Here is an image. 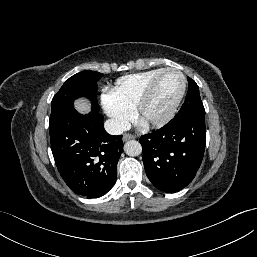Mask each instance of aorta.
Returning <instances> with one entry per match:
<instances>
[{"instance_id": "obj_1", "label": "aorta", "mask_w": 257, "mask_h": 257, "mask_svg": "<svg viewBox=\"0 0 257 257\" xmlns=\"http://www.w3.org/2000/svg\"><path fill=\"white\" fill-rule=\"evenodd\" d=\"M124 151L128 156H138L142 152V146L138 141L130 140L125 143Z\"/></svg>"}]
</instances>
